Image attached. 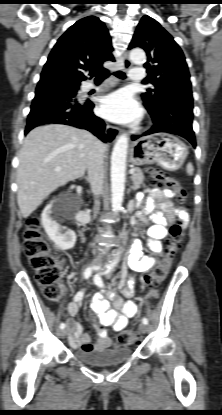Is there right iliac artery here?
I'll return each instance as SVG.
<instances>
[{
	"mask_svg": "<svg viewBox=\"0 0 222 415\" xmlns=\"http://www.w3.org/2000/svg\"><path fill=\"white\" fill-rule=\"evenodd\" d=\"M96 269H98V267H89V268L85 269V271H84V278L88 279L91 276L92 271L93 270H96ZM64 328H65V324L64 323H61L60 324V329H64Z\"/></svg>",
	"mask_w": 222,
	"mask_h": 415,
	"instance_id": "obj_1",
	"label": "right iliac artery"
}]
</instances>
